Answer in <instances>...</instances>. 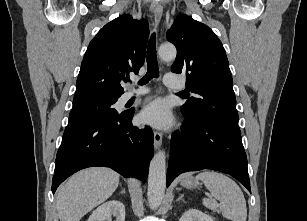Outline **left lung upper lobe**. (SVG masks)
<instances>
[{"instance_id": "obj_1", "label": "left lung upper lobe", "mask_w": 307, "mask_h": 221, "mask_svg": "<svg viewBox=\"0 0 307 221\" xmlns=\"http://www.w3.org/2000/svg\"><path fill=\"white\" fill-rule=\"evenodd\" d=\"M167 39L177 48L172 72L185 73L187 90L196 94L181 107L184 117L215 120L240 132L228 59L215 33L180 15L167 31Z\"/></svg>"}]
</instances>
